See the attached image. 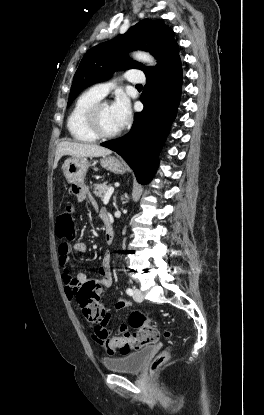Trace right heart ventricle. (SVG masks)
I'll list each match as a JSON object with an SVG mask.
<instances>
[{
  "label": "right heart ventricle",
  "mask_w": 264,
  "mask_h": 415,
  "mask_svg": "<svg viewBox=\"0 0 264 415\" xmlns=\"http://www.w3.org/2000/svg\"><path fill=\"white\" fill-rule=\"evenodd\" d=\"M100 100L101 97L88 90L75 101L67 119V129L74 140L82 143H92L97 140L87 129L84 116L86 111Z\"/></svg>",
  "instance_id": "1"
}]
</instances>
